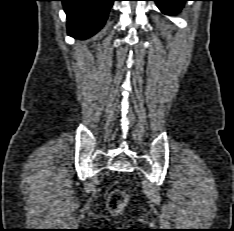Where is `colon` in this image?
Here are the masks:
<instances>
[{
	"mask_svg": "<svg viewBox=\"0 0 234 231\" xmlns=\"http://www.w3.org/2000/svg\"><path fill=\"white\" fill-rule=\"evenodd\" d=\"M127 202V195L125 192L117 190L112 192L108 199V209L113 215H118L122 211Z\"/></svg>",
	"mask_w": 234,
	"mask_h": 231,
	"instance_id": "5ec220e1",
	"label": "colon"
}]
</instances>
